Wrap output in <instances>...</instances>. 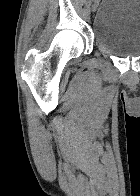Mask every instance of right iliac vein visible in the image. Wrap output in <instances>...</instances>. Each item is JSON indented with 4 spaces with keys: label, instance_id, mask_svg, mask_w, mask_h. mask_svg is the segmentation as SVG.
Here are the masks:
<instances>
[{
    "label": "right iliac vein",
    "instance_id": "right-iliac-vein-1",
    "mask_svg": "<svg viewBox=\"0 0 140 196\" xmlns=\"http://www.w3.org/2000/svg\"><path fill=\"white\" fill-rule=\"evenodd\" d=\"M97 2L95 1L94 3H93V5H92V12H95L96 11V9H97Z\"/></svg>",
    "mask_w": 140,
    "mask_h": 196
}]
</instances>
